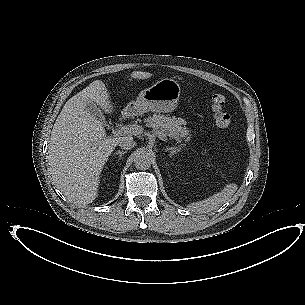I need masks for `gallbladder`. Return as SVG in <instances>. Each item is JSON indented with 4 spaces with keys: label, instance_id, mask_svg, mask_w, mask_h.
Here are the masks:
<instances>
[{
    "label": "gallbladder",
    "instance_id": "1",
    "mask_svg": "<svg viewBox=\"0 0 305 305\" xmlns=\"http://www.w3.org/2000/svg\"><path fill=\"white\" fill-rule=\"evenodd\" d=\"M95 109L97 110V112H98V113H100V114H101V112H100V111H99V110H98L96 107H95Z\"/></svg>",
    "mask_w": 305,
    "mask_h": 305
}]
</instances>
